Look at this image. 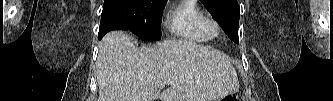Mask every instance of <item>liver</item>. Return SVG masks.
Masks as SVG:
<instances>
[{"instance_id": "liver-1", "label": "liver", "mask_w": 333, "mask_h": 101, "mask_svg": "<svg viewBox=\"0 0 333 101\" xmlns=\"http://www.w3.org/2000/svg\"><path fill=\"white\" fill-rule=\"evenodd\" d=\"M97 82L98 101H217L239 89L236 71L220 51L175 39L137 48L121 31L99 45Z\"/></svg>"}]
</instances>
